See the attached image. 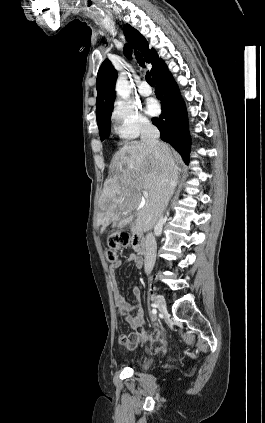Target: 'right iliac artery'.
<instances>
[{
	"label": "right iliac artery",
	"instance_id": "82829eb1",
	"mask_svg": "<svg viewBox=\"0 0 265 423\" xmlns=\"http://www.w3.org/2000/svg\"><path fill=\"white\" fill-rule=\"evenodd\" d=\"M152 307H153V309H152V313H153V314H156V312H157V311H156V305H155V304H152Z\"/></svg>",
	"mask_w": 265,
	"mask_h": 423
}]
</instances>
